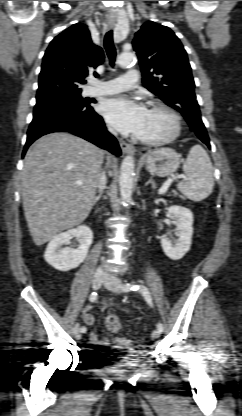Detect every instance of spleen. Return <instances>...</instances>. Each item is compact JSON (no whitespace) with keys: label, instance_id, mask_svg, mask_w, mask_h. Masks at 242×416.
<instances>
[{"label":"spleen","instance_id":"3e777b00","mask_svg":"<svg viewBox=\"0 0 242 416\" xmlns=\"http://www.w3.org/2000/svg\"><path fill=\"white\" fill-rule=\"evenodd\" d=\"M184 181L177 184L178 190L192 201L207 198L214 186L213 167L211 160L200 145H194L184 162Z\"/></svg>","mask_w":242,"mask_h":416}]
</instances>
